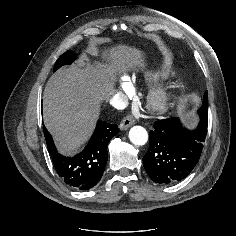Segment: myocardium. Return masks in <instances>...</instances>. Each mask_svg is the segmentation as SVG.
Here are the masks:
<instances>
[{"instance_id":"f54148a6","label":"myocardium","mask_w":236,"mask_h":236,"mask_svg":"<svg viewBox=\"0 0 236 236\" xmlns=\"http://www.w3.org/2000/svg\"><path fill=\"white\" fill-rule=\"evenodd\" d=\"M172 98L170 91L160 87L153 88L145 96V106L152 114H163L169 109Z\"/></svg>"}]
</instances>
